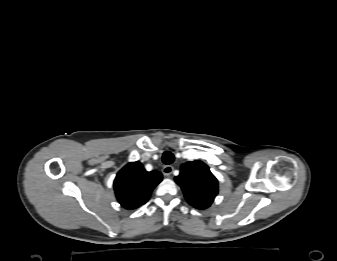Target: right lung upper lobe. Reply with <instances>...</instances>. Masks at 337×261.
Listing matches in <instances>:
<instances>
[{"label":"right lung upper lobe","mask_w":337,"mask_h":261,"mask_svg":"<svg viewBox=\"0 0 337 261\" xmlns=\"http://www.w3.org/2000/svg\"><path fill=\"white\" fill-rule=\"evenodd\" d=\"M161 181L160 172H147L143 165L136 161L128 163L118 172L113 187L122 207L136 209L148 201L152 190Z\"/></svg>","instance_id":"1"}]
</instances>
